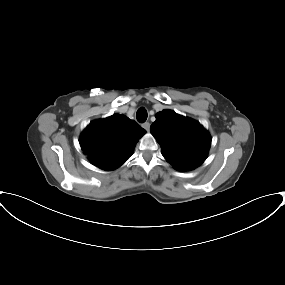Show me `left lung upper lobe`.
I'll return each instance as SVG.
<instances>
[{
  "label": "left lung upper lobe",
  "instance_id": "5c2ea615",
  "mask_svg": "<svg viewBox=\"0 0 285 285\" xmlns=\"http://www.w3.org/2000/svg\"><path fill=\"white\" fill-rule=\"evenodd\" d=\"M155 117L150 132L160 144L164 158L176 170H192L205 161L211 137L199 122L172 110H163Z\"/></svg>",
  "mask_w": 285,
  "mask_h": 285
}]
</instances>
